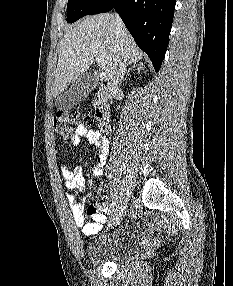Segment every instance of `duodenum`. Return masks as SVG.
<instances>
[{
	"label": "duodenum",
	"mask_w": 233,
	"mask_h": 286,
	"mask_svg": "<svg viewBox=\"0 0 233 286\" xmlns=\"http://www.w3.org/2000/svg\"><path fill=\"white\" fill-rule=\"evenodd\" d=\"M95 115L99 127L108 132L110 130L111 108L108 93L103 87L98 90L95 96Z\"/></svg>",
	"instance_id": "410a0bca"
}]
</instances>
